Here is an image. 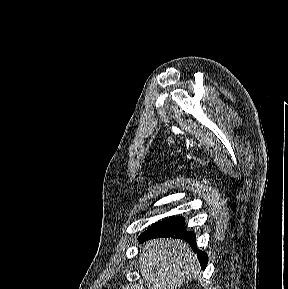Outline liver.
Segmentation results:
<instances>
[{"mask_svg":"<svg viewBox=\"0 0 288 289\" xmlns=\"http://www.w3.org/2000/svg\"><path fill=\"white\" fill-rule=\"evenodd\" d=\"M140 272L147 289H176L200 272L197 255L179 239L148 241L140 253Z\"/></svg>","mask_w":288,"mask_h":289,"instance_id":"liver-1","label":"liver"}]
</instances>
